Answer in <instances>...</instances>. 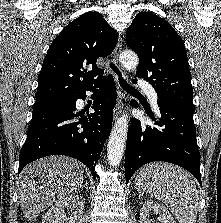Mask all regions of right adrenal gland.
<instances>
[{
    "instance_id": "2a0ac1e0",
    "label": "right adrenal gland",
    "mask_w": 221,
    "mask_h": 223,
    "mask_svg": "<svg viewBox=\"0 0 221 223\" xmlns=\"http://www.w3.org/2000/svg\"><path fill=\"white\" fill-rule=\"evenodd\" d=\"M84 186H87V188H88V183L86 182Z\"/></svg>"
}]
</instances>
